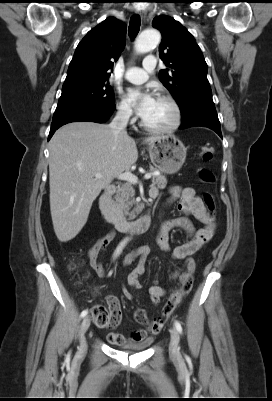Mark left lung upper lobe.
Returning a JSON list of instances; mask_svg holds the SVG:
<instances>
[{"mask_svg":"<svg viewBox=\"0 0 272 401\" xmlns=\"http://www.w3.org/2000/svg\"><path fill=\"white\" fill-rule=\"evenodd\" d=\"M152 25L162 33L159 53L168 66L159 72V79L173 95L181 113L200 106H214L207 64L193 36L181 23L166 15L155 17Z\"/></svg>","mask_w":272,"mask_h":401,"instance_id":"obj_1","label":"left lung upper lobe"}]
</instances>
